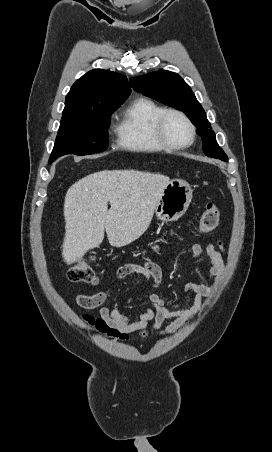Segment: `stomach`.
<instances>
[{
	"mask_svg": "<svg viewBox=\"0 0 272 452\" xmlns=\"http://www.w3.org/2000/svg\"><path fill=\"white\" fill-rule=\"evenodd\" d=\"M190 185L181 179L170 180L154 209L157 220L168 223L178 220L192 200Z\"/></svg>",
	"mask_w": 272,
	"mask_h": 452,
	"instance_id": "obj_1",
	"label": "stomach"
}]
</instances>
